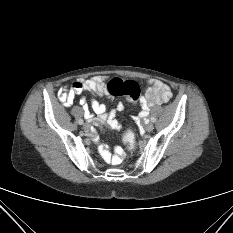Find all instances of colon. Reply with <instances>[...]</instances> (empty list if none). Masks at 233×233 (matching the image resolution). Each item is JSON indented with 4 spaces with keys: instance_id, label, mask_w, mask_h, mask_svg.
Masks as SVG:
<instances>
[{
    "instance_id": "colon-1",
    "label": "colon",
    "mask_w": 233,
    "mask_h": 233,
    "mask_svg": "<svg viewBox=\"0 0 233 233\" xmlns=\"http://www.w3.org/2000/svg\"><path fill=\"white\" fill-rule=\"evenodd\" d=\"M109 93L113 96H125L130 104L135 103L140 97V87L133 80H122L113 78L107 84ZM123 140L130 150L136 147V139L134 134L127 130L123 135Z\"/></svg>"
}]
</instances>
